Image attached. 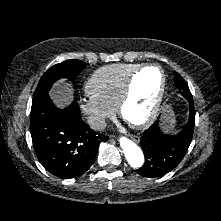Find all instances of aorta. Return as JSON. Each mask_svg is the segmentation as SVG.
Listing matches in <instances>:
<instances>
[{"mask_svg":"<svg viewBox=\"0 0 221 221\" xmlns=\"http://www.w3.org/2000/svg\"><path fill=\"white\" fill-rule=\"evenodd\" d=\"M119 142L129 165L133 168L141 167L144 155L140 147L126 137H121Z\"/></svg>","mask_w":221,"mask_h":221,"instance_id":"aorta-1","label":"aorta"}]
</instances>
